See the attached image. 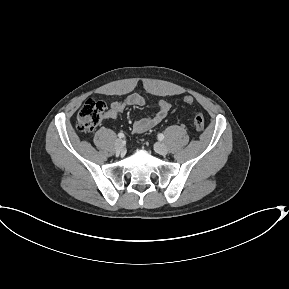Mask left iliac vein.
<instances>
[{
    "label": "left iliac vein",
    "instance_id": "obj_1",
    "mask_svg": "<svg viewBox=\"0 0 289 289\" xmlns=\"http://www.w3.org/2000/svg\"><path fill=\"white\" fill-rule=\"evenodd\" d=\"M155 151L161 155H166L168 153V148L164 143L158 142L154 146Z\"/></svg>",
    "mask_w": 289,
    "mask_h": 289
}]
</instances>
